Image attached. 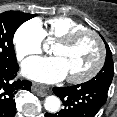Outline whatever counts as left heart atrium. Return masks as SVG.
<instances>
[{"label": "left heart atrium", "instance_id": "1", "mask_svg": "<svg viewBox=\"0 0 117 117\" xmlns=\"http://www.w3.org/2000/svg\"><path fill=\"white\" fill-rule=\"evenodd\" d=\"M23 73L36 81L43 83H55L63 80L66 69L60 58H31L23 64Z\"/></svg>", "mask_w": 117, "mask_h": 117}]
</instances>
